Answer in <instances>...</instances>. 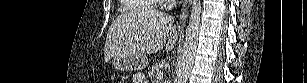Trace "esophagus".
<instances>
[{
    "mask_svg": "<svg viewBox=\"0 0 307 83\" xmlns=\"http://www.w3.org/2000/svg\"><path fill=\"white\" fill-rule=\"evenodd\" d=\"M191 3H192V0H185L183 3L182 10H181L180 17H179L181 26H184L186 23Z\"/></svg>",
    "mask_w": 307,
    "mask_h": 83,
    "instance_id": "obj_1",
    "label": "esophagus"
}]
</instances>
